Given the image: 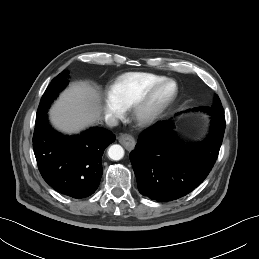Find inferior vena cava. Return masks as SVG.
I'll use <instances>...</instances> for the list:
<instances>
[{
	"label": "inferior vena cava",
	"instance_id": "obj_1",
	"mask_svg": "<svg viewBox=\"0 0 259 259\" xmlns=\"http://www.w3.org/2000/svg\"><path fill=\"white\" fill-rule=\"evenodd\" d=\"M105 122L110 127H114L118 125V120L113 115H107L105 117Z\"/></svg>",
	"mask_w": 259,
	"mask_h": 259
}]
</instances>
